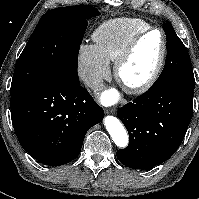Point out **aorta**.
I'll return each mask as SVG.
<instances>
[{
    "label": "aorta",
    "instance_id": "obj_1",
    "mask_svg": "<svg viewBox=\"0 0 199 199\" xmlns=\"http://www.w3.org/2000/svg\"><path fill=\"white\" fill-rule=\"evenodd\" d=\"M104 125L109 132L112 140L119 148H125L128 145V134L121 122L114 116H107L104 119Z\"/></svg>",
    "mask_w": 199,
    "mask_h": 199
}]
</instances>
